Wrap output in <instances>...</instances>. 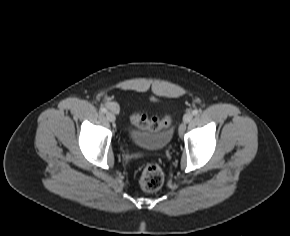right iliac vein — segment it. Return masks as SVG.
<instances>
[{"mask_svg": "<svg viewBox=\"0 0 290 236\" xmlns=\"http://www.w3.org/2000/svg\"><path fill=\"white\" fill-rule=\"evenodd\" d=\"M106 117L112 123L115 122V120H116L115 114L112 112H107Z\"/></svg>", "mask_w": 290, "mask_h": 236, "instance_id": "right-iliac-vein-1", "label": "right iliac vein"}]
</instances>
